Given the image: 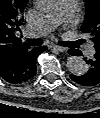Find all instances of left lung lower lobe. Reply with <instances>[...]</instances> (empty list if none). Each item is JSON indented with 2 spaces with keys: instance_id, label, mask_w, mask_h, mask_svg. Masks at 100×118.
I'll return each instance as SVG.
<instances>
[{
  "instance_id": "1",
  "label": "left lung lower lobe",
  "mask_w": 100,
  "mask_h": 118,
  "mask_svg": "<svg viewBox=\"0 0 100 118\" xmlns=\"http://www.w3.org/2000/svg\"><path fill=\"white\" fill-rule=\"evenodd\" d=\"M71 55H82L81 52L76 49H70ZM86 63L89 65V70L84 75H70V78L83 86H94L100 83V53L96 52L94 57L91 59L85 58Z\"/></svg>"
}]
</instances>
